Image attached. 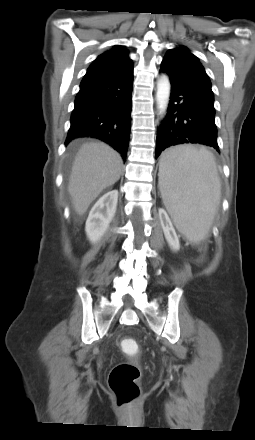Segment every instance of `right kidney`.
I'll return each instance as SVG.
<instances>
[{"mask_svg":"<svg viewBox=\"0 0 255 440\" xmlns=\"http://www.w3.org/2000/svg\"><path fill=\"white\" fill-rule=\"evenodd\" d=\"M117 201L118 190H112L105 193L92 207L85 226L91 243H97L109 228L116 212Z\"/></svg>","mask_w":255,"mask_h":440,"instance_id":"obj_1","label":"right kidney"}]
</instances>
